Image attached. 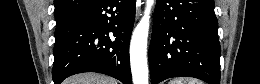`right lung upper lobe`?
<instances>
[{"label":"right lung upper lobe","instance_id":"right-lung-upper-lobe-1","mask_svg":"<svg viewBox=\"0 0 260 84\" xmlns=\"http://www.w3.org/2000/svg\"><path fill=\"white\" fill-rule=\"evenodd\" d=\"M95 0H55V20L57 27L92 5Z\"/></svg>","mask_w":260,"mask_h":84}]
</instances>
